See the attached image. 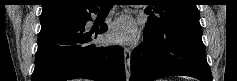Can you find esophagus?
<instances>
[{"mask_svg":"<svg viewBox=\"0 0 237 81\" xmlns=\"http://www.w3.org/2000/svg\"><path fill=\"white\" fill-rule=\"evenodd\" d=\"M130 58H131V50L128 47L124 48V60H125V72L126 79L130 78Z\"/></svg>","mask_w":237,"mask_h":81,"instance_id":"34e87169","label":"esophagus"}]
</instances>
